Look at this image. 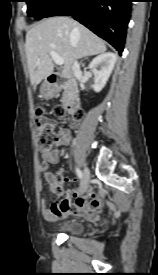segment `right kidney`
<instances>
[{
    "label": "right kidney",
    "mask_w": 158,
    "mask_h": 275,
    "mask_svg": "<svg viewBox=\"0 0 158 275\" xmlns=\"http://www.w3.org/2000/svg\"><path fill=\"white\" fill-rule=\"evenodd\" d=\"M116 55L111 52L103 53L95 57L89 64V70L94 74L93 89L100 92L106 85L114 65L116 63ZM100 66V70L97 68Z\"/></svg>",
    "instance_id": "obj_1"
}]
</instances>
